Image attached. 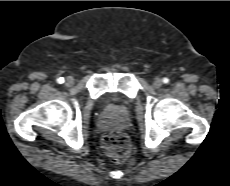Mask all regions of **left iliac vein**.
I'll return each mask as SVG.
<instances>
[{
	"label": "left iliac vein",
	"instance_id": "obj_1",
	"mask_svg": "<svg viewBox=\"0 0 230 186\" xmlns=\"http://www.w3.org/2000/svg\"><path fill=\"white\" fill-rule=\"evenodd\" d=\"M162 84H163V81H162L161 78H155V79L153 80V86H154L155 88H160V87L162 86Z\"/></svg>",
	"mask_w": 230,
	"mask_h": 186
}]
</instances>
